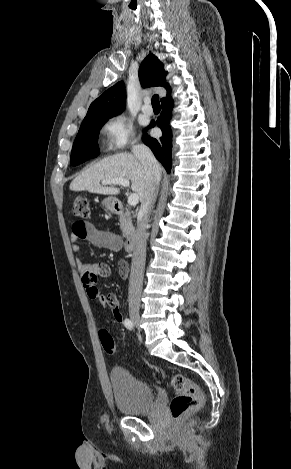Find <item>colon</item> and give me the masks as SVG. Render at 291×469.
Masks as SVG:
<instances>
[{
  "label": "colon",
  "instance_id": "colon-1",
  "mask_svg": "<svg viewBox=\"0 0 291 469\" xmlns=\"http://www.w3.org/2000/svg\"><path fill=\"white\" fill-rule=\"evenodd\" d=\"M72 214L78 218H87L89 215V204L87 199L78 197L72 204ZM119 271L121 276L128 274V266L126 262L119 263ZM97 308H103L105 301L95 297L93 299ZM99 339L104 351L109 355L117 353V347L113 337L107 330L99 331ZM170 387L175 391V396L170 404V411L175 419H180L189 411L198 409L203 404V394L199 386L188 379L183 374H172L168 377Z\"/></svg>",
  "mask_w": 291,
  "mask_h": 469
}]
</instances>
